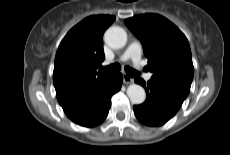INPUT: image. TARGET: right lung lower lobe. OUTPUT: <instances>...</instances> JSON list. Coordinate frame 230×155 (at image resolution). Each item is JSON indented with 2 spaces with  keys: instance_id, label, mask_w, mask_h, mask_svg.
Wrapping results in <instances>:
<instances>
[{
  "instance_id": "right-lung-lower-lobe-1",
  "label": "right lung lower lobe",
  "mask_w": 230,
  "mask_h": 155,
  "mask_svg": "<svg viewBox=\"0 0 230 155\" xmlns=\"http://www.w3.org/2000/svg\"><path fill=\"white\" fill-rule=\"evenodd\" d=\"M122 81L121 73L114 74L86 98L63 106L65 114L73 122L84 127H93L100 124L108 115L111 97L121 89Z\"/></svg>"
}]
</instances>
